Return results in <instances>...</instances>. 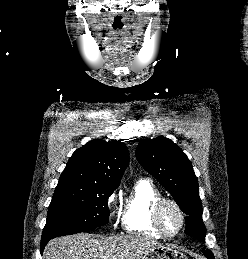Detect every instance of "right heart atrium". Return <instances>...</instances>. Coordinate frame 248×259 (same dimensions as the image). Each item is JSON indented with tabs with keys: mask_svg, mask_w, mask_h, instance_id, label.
<instances>
[{
	"mask_svg": "<svg viewBox=\"0 0 248 259\" xmlns=\"http://www.w3.org/2000/svg\"><path fill=\"white\" fill-rule=\"evenodd\" d=\"M115 201V194H112L109 198V204H112Z\"/></svg>",
	"mask_w": 248,
	"mask_h": 259,
	"instance_id": "1",
	"label": "right heart atrium"
}]
</instances>
